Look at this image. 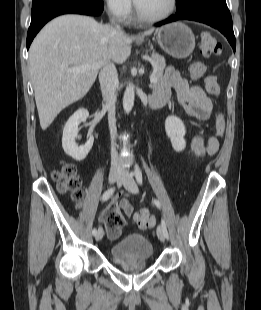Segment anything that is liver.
<instances>
[{"instance_id": "liver-1", "label": "liver", "mask_w": 261, "mask_h": 310, "mask_svg": "<svg viewBox=\"0 0 261 310\" xmlns=\"http://www.w3.org/2000/svg\"><path fill=\"white\" fill-rule=\"evenodd\" d=\"M153 31L147 30L143 36ZM133 39L88 16L67 14L50 21L29 49V70L42 130L64 108L88 93L102 65L110 61L125 62ZM95 63L101 66L76 74L67 71Z\"/></svg>"}]
</instances>
